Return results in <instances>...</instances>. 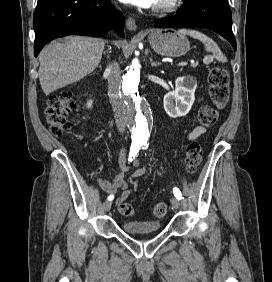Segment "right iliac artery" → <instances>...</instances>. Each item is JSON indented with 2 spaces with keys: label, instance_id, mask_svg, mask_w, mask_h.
<instances>
[{
  "label": "right iliac artery",
  "instance_id": "82829eb1",
  "mask_svg": "<svg viewBox=\"0 0 272 282\" xmlns=\"http://www.w3.org/2000/svg\"><path fill=\"white\" fill-rule=\"evenodd\" d=\"M141 147V142L138 141H133L131 144V148H130V154H129V161H131L132 157L134 158L137 153L139 152V149ZM114 199V195H110L108 197V200H113Z\"/></svg>",
  "mask_w": 272,
  "mask_h": 282
}]
</instances>
